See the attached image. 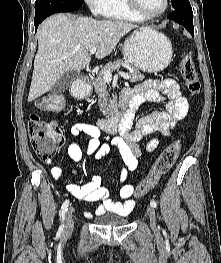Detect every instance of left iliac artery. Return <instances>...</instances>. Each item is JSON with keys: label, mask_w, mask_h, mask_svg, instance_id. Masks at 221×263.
<instances>
[{"label": "left iliac artery", "mask_w": 221, "mask_h": 263, "mask_svg": "<svg viewBox=\"0 0 221 263\" xmlns=\"http://www.w3.org/2000/svg\"><path fill=\"white\" fill-rule=\"evenodd\" d=\"M150 205H151L152 207H154V208L157 207V203H156L154 200H152V201L150 202Z\"/></svg>", "instance_id": "obj_1"}]
</instances>
